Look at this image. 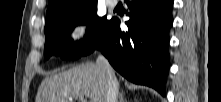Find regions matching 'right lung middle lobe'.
Wrapping results in <instances>:
<instances>
[{"instance_id":"dd1d6c3e","label":"right lung middle lobe","mask_w":221,"mask_h":102,"mask_svg":"<svg viewBox=\"0 0 221 102\" xmlns=\"http://www.w3.org/2000/svg\"><path fill=\"white\" fill-rule=\"evenodd\" d=\"M109 22L106 16L97 15V2L80 7L63 9L45 24L44 55L48 59L52 55H60L64 59L74 60L82 57L96 42L101 31ZM87 35L79 41L71 39V32L77 25H86Z\"/></svg>"}]
</instances>
